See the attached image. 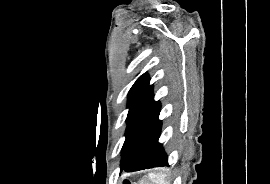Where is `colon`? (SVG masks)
<instances>
[{"instance_id": "obj_1", "label": "colon", "mask_w": 270, "mask_h": 184, "mask_svg": "<svg viewBox=\"0 0 270 184\" xmlns=\"http://www.w3.org/2000/svg\"><path fill=\"white\" fill-rule=\"evenodd\" d=\"M123 184H131L128 180H125Z\"/></svg>"}]
</instances>
